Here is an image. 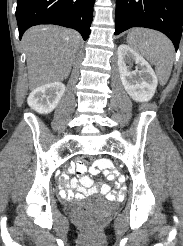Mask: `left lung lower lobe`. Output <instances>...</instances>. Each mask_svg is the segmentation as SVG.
Returning <instances> with one entry per match:
<instances>
[{"mask_svg": "<svg viewBox=\"0 0 183 246\" xmlns=\"http://www.w3.org/2000/svg\"><path fill=\"white\" fill-rule=\"evenodd\" d=\"M115 35L145 27L167 35L177 51L182 34L183 0H117Z\"/></svg>", "mask_w": 183, "mask_h": 246, "instance_id": "obj_1", "label": "left lung lower lobe"}]
</instances>
